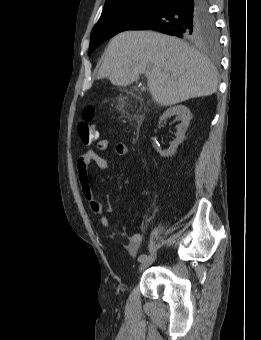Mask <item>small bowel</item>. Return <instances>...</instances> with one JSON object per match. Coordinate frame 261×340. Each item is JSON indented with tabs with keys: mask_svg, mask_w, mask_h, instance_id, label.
<instances>
[{
	"mask_svg": "<svg viewBox=\"0 0 261 340\" xmlns=\"http://www.w3.org/2000/svg\"><path fill=\"white\" fill-rule=\"evenodd\" d=\"M109 146L108 139H100L97 143V148L100 151L106 150ZM114 152L118 156H124L127 153V147L124 143H117L114 147ZM91 163H95L97 167L101 170H108L109 163L108 161L100 156L95 150L88 148L77 160L76 168H77V176L78 181L81 189V193L86 200L89 210L93 214H101L103 211V206L100 200L95 195L88 174V168ZM100 224L102 228L106 230L111 229V225L109 219L103 216L100 220ZM120 236H125L123 232L119 233ZM143 236L141 233H134L128 237V249L130 253L134 254L138 247L142 242Z\"/></svg>",
	"mask_w": 261,
	"mask_h": 340,
	"instance_id": "small-bowel-1",
	"label": "small bowel"
}]
</instances>
